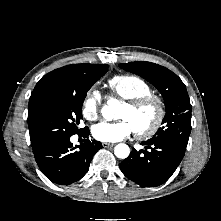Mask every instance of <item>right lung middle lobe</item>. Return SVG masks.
I'll use <instances>...</instances> for the list:
<instances>
[{
	"label": "right lung middle lobe",
	"mask_w": 221,
	"mask_h": 221,
	"mask_svg": "<svg viewBox=\"0 0 221 221\" xmlns=\"http://www.w3.org/2000/svg\"><path fill=\"white\" fill-rule=\"evenodd\" d=\"M100 64L84 71L79 78L46 97L28 116L32 149L36 150L58 138L80 132L82 105L87 91L107 71Z\"/></svg>",
	"instance_id": "1"
}]
</instances>
